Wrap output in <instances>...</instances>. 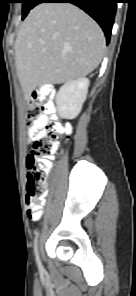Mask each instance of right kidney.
Instances as JSON below:
<instances>
[{
  "label": "right kidney",
  "instance_id": "right-kidney-1",
  "mask_svg": "<svg viewBox=\"0 0 136 296\" xmlns=\"http://www.w3.org/2000/svg\"><path fill=\"white\" fill-rule=\"evenodd\" d=\"M89 83L88 78L80 77L66 82L59 89L55 102L61 118L73 119L80 113L87 96Z\"/></svg>",
  "mask_w": 136,
  "mask_h": 296
}]
</instances>
